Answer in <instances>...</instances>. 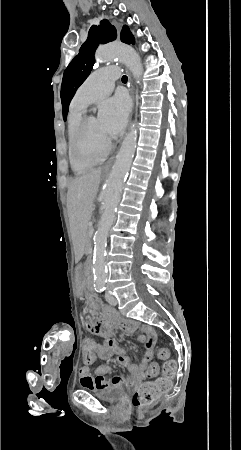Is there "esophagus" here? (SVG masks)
I'll use <instances>...</instances> for the list:
<instances>
[{"label": "esophagus", "mask_w": 241, "mask_h": 450, "mask_svg": "<svg viewBox=\"0 0 241 450\" xmlns=\"http://www.w3.org/2000/svg\"><path fill=\"white\" fill-rule=\"evenodd\" d=\"M129 80L131 81V77H129ZM114 156L113 157H111L109 160H107V162H106V164L104 165V167L103 168H105V169H108L109 167H111V165H112V163H113V161H114Z\"/></svg>", "instance_id": "obj_1"}]
</instances>
